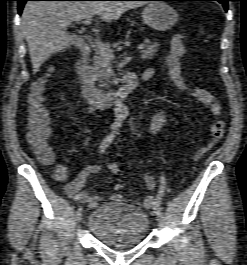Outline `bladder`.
I'll use <instances>...</instances> for the list:
<instances>
[{
    "label": "bladder",
    "instance_id": "31cf9c89",
    "mask_svg": "<svg viewBox=\"0 0 247 265\" xmlns=\"http://www.w3.org/2000/svg\"><path fill=\"white\" fill-rule=\"evenodd\" d=\"M87 228L105 245L128 247L145 240L149 221L147 214L136 206L105 202L90 213Z\"/></svg>",
    "mask_w": 247,
    "mask_h": 265
}]
</instances>
